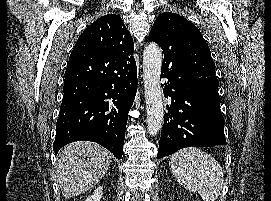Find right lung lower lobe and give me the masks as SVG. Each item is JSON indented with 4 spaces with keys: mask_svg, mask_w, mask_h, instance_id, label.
I'll return each mask as SVG.
<instances>
[{
    "mask_svg": "<svg viewBox=\"0 0 271 201\" xmlns=\"http://www.w3.org/2000/svg\"><path fill=\"white\" fill-rule=\"evenodd\" d=\"M137 91L135 60L91 49L71 52L56 123L55 153L92 141L122 158L128 112Z\"/></svg>",
    "mask_w": 271,
    "mask_h": 201,
    "instance_id": "right-lung-lower-lobe-1",
    "label": "right lung lower lobe"
}]
</instances>
